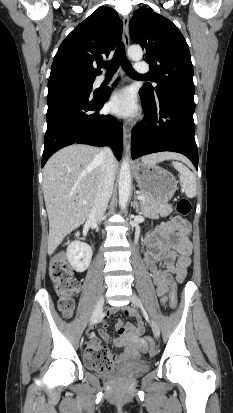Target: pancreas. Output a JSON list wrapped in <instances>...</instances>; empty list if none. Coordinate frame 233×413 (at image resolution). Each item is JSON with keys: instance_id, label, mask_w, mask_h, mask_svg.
Returning <instances> with one entry per match:
<instances>
[{"instance_id": "pancreas-1", "label": "pancreas", "mask_w": 233, "mask_h": 413, "mask_svg": "<svg viewBox=\"0 0 233 413\" xmlns=\"http://www.w3.org/2000/svg\"><path fill=\"white\" fill-rule=\"evenodd\" d=\"M144 197L140 201L142 213L148 217H157L158 215L166 217L173 211L172 205L167 202L156 200L144 193H141Z\"/></svg>"}]
</instances>
